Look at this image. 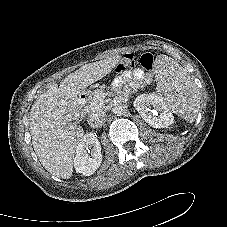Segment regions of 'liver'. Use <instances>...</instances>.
<instances>
[{
  "label": "liver",
  "mask_w": 227,
  "mask_h": 227,
  "mask_svg": "<svg viewBox=\"0 0 227 227\" xmlns=\"http://www.w3.org/2000/svg\"><path fill=\"white\" fill-rule=\"evenodd\" d=\"M120 55L83 65L69 74L58 86L52 84L37 96L30 111V133L35 153L51 174L69 179L73 158L84 130L72 124L81 91L109 74L119 63Z\"/></svg>",
  "instance_id": "liver-1"
}]
</instances>
